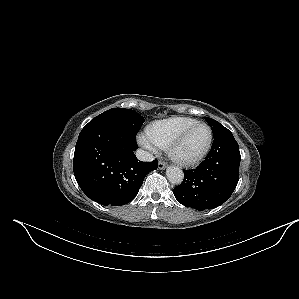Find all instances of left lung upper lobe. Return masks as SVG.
<instances>
[{"label":"left lung upper lobe","mask_w":299,"mask_h":299,"mask_svg":"<svg viewBox=\"0 0 299 299\" xmlns=\"http://www.w3.org/2000/svg\"><path fill=\"white\" fill-rule=\"evenodd\" d=\"M205 120L210 125V127L213 131V135L220 132V131H222V130H224V129H227L222 124H220L219 122H217L216 120H214L212 118H205Z\"/></svg>","instance_id":"left-lung-upper-lobe-1"}]
</instances>
